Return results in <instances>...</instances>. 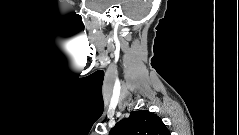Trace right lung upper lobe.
I'll return each mask as SVG.
<instances>
[{
    "label": "right lung upper lobe",
    "instance_id": "obj_1",
    "mask_svg": "<svg viewBox=\"0 0 239 135\" xmlns=\"http://www.w3.org/2000/svg\"><path fill=\"white\" fill-rule=\"evenodd\" d=\"M109 135H169L162 120L148 110L132 111L128 118L120 120Z\"/></svg>",
    "mask_w": 239,
    "mask_h": 135
}]
</instances>
